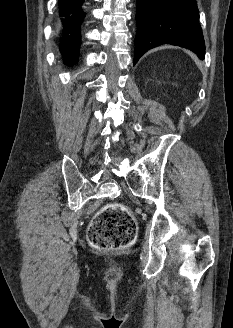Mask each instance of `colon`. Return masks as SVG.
Masks as SVG:
<instances>
[{
  "label": "colon",
  "instance_id": "colon-1",
  "mask_svg": "<svg viewBox=\"0 0 233 328\" xmlns=\"http://www.w3.org/2000/svg\"><path fill=\"white\" fill-rule=\"evenodd\" d=\"M136 233L137 223L132 213L121 204L111 203L96 214L87 236L94 248L113 250L132 244Z\"/></svg>",
  "mask_w": 233,
  "mask_h": 328
}]
</instances>
